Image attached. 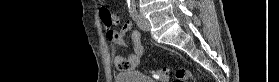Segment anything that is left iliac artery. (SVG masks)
<instances>
[{"label":"left iliac artery","mask_w":279,"mask_h":82,"mask_svg":"<svg viewBox=\"0 0 279 82\" xmlns=\"http://www.w3.org/2000/svg\"><path fill=\"white\" fill-rule=\"evenodd\" d=\"M128 8L132 18L136 20L138 18V13L136 10V4L134 0H128Z\"/></svg>","instance_id":"44dca946"}]
</instances>
